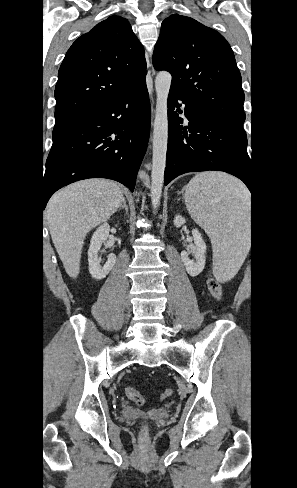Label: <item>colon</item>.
Returning a JSON list of instances; mask_svg holds the SVG:
<instances>
[{"mask_svg": "<svg viewBox=\"0 0 297 488\" xmlns=\"http://www.w3.org/2000/svg\"><path fill=\"white\" fill-rule=\"evenodd\" d=\"M208 290L210 294L217 300H220L223 296V288L221 283L210 273L207 280ZM126 395L137 405L144 404V397L137 389L132 386L125 388ZM171 394V390H166L161 399L167 398Z\"/></svg>", "mask_w": 297, "mask_h": 488, "instance_id": "obj_1", "label": "colon"}]
</instances>
